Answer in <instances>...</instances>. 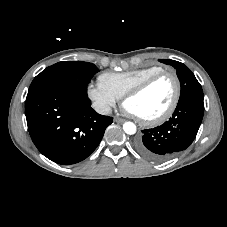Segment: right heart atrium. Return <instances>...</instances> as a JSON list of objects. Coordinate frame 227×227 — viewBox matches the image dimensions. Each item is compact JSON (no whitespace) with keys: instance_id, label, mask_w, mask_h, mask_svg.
Here are the masks:
<instances>
[{"instance_id":"right-heart-atrium-1","label":"right heart atrium","mask_w":227,"mask_h":227,"mask_svg":"<svg viewBox=\"0 0 227 227\" xmlns=\"http://www.w3.org/2000/svg\"><path fill=\"white\" fill-rule=\"evenodd\" d=\"M87 94L93 106L100 113L106 114L116 105L118 98L100 83L90 84Z\"/></svg>"}]
</instances>
